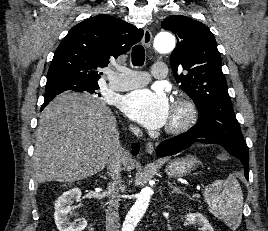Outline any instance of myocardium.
<instances>
[{
  "label": "myocardium",
  "mask_w": 268,
  "mask_h": 231,
  "mask_svg": "<svg viewBox=\"0 0 268 231\" xmlns=\"http://www.w3.org/2000/svg\"><path fill=\"white\" fill-rule=\"evenodd\" d=\"M172 109L178 110L180 117L177 121L167 124L165 128L166 133L179 134L188 130L197 116L194 102L187 96H178L173 101Z\"/></svg>",
  "instance_id": "myocardium-1"
}]
</instances>
